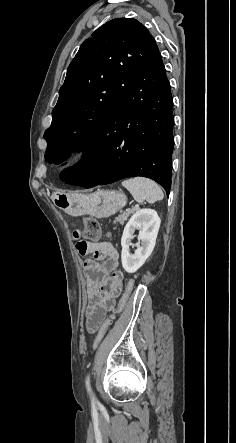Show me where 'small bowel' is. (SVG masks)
Listing matches in <instances>:
<instances>
[{"label": "small bowel", "instance_id": "c3829d8e", "mask_svg": "<svg viewBox=\"0 0 236 443\" xmlns=\"http://www.w3.org/2000/svg\"><path fill=\"white\" fill-rule=\"evenodd\" d=\"M86 251L80 254L91 253L93 259L84 261L87 272L88 309L86 327L90 333L98 330L106 313L115 306V299L123 287V273L119 270V251L107 242L88 243ZM109 274V276H106Z\"/></svg>", "mask_w": 236, "mask_h": 443}]
</instances>
